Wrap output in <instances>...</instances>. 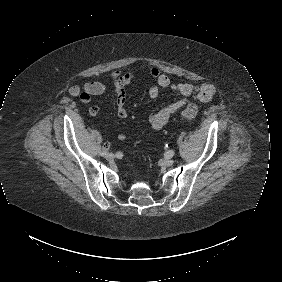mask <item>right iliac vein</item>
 <instances>
[{
	"label": "right iliac vein",
	"mask_w": 282,
	"mask_h": 282,
	"mask_svg": "<svg viewBox=\"0 0 282 282\" xmlns=\"http://www.w3.org/2000/svg\"><path fill=\"white\" fill-rule=\"evenodd\" d=\"M113 154L112 153H106V155H105V158L107 159V160H112L113 159Z\"/></svg>",
	"instance_id": "right-iliac-vein-1"
}]
</instances>
